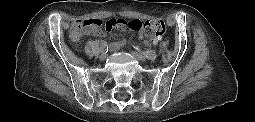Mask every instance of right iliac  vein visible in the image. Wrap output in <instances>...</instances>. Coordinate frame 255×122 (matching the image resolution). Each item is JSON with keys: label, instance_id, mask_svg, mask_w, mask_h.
I'll return each mask as SVG.
<instances>
[{"label": "right iliac vein", "instance_id": "obj_1", "mask_svg": "<svg viewBox=\"0 0 255 122\" xmlns=\"http://www.w3.org/2000/svg\"><path fill=\"white\" fill-rule=\"evenodd\" d=\"M99 58L100 60H105L107 58V52L101 50V54Z\"/></svg>", "mask_w": 255, "mask_h": 122}]
</instances>
